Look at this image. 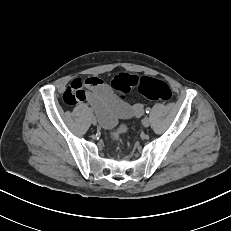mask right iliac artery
<instances>
[{
  "mask_svg": "<svg viewBox=\"0 0 231 231\" xmlns=\"http://www.w3.org/2000/svg\"><path fill=\"white\" fill-rule=\"evenodd\" d=\"M89 112H90V113H93V110L90 108V109H89Z\"/></svg>",
  "mask_w": 231,
  "mask_h": 231,
  "instance_id": "right-iliac-artery-1",
  "label": "right iliac artery"
}]
</instances>
